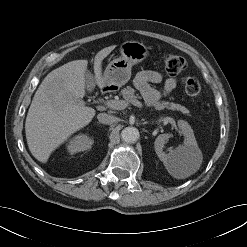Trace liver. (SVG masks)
Wrapping results in <instances>:
<instances>
[{"label":"liver","instance_id":"liver-1","mask_svg":"<svg viewBox=\"0 0 247 247\" xmlns=\"http://www.w3.org/2000/svg\"><path fill=\"white\" fill-rule=\"evenodd\" d=\"M115 46L100 50L94 58L95 82L106 87L102 61ZM87 60H75L51 71L36 90L29 107L25 134L31 154L46 163L51 153L73 133L88 125L96 114L85 105Z\"/></svg>","mask_w":247,"mask_h":247}]
</instances>
